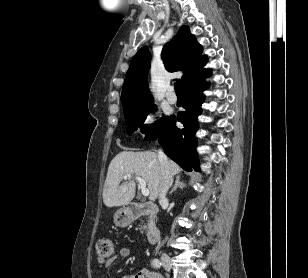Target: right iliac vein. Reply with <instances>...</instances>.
Instances as JSON below:
<instances>
[{"mask_svg": "<svg viewBox=\"0 0 308 278\" xmlns=\"http://www.w3.org/2000/svg\"><path fill=\"white\" fill-rule=\"evenodd\" d=\"M161 262H162L163 267L165 268V270L170 271V269H171V260H170V257L166 253L162 254Z\"/></svg>", "mask_w": 308, "mask_h": 278, "instance_id": "1", "label": "right iliac vein"}]
</instances>
